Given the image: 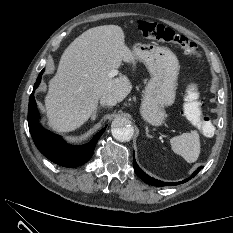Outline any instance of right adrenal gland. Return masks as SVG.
Listing matches in <instances>:
<instances>
[{
	"label": "right adrenal gland",
	"instance_id": "2a0ac1e0",
	"mask_svg": "<svg viewBox=\"0 0 233 233\" xmlns=\"http://www.w3.org/2000/svg\"><path fill=\"white\" fill-rule=\"evenodd\" d=\"M100 107L96 108L92 114V117H91V120L94 121L95 118H96V113H97V110L99 109Z\"/></svg>",
	"mask_w": 233,
	"mask_h": 233
}]
</instances>
